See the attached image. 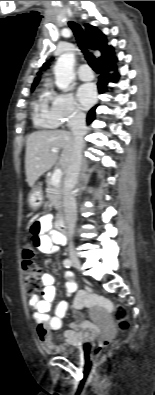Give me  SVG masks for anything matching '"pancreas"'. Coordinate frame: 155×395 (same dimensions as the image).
<instances>
[{
    "mask_svg": "<svg viewBox=\"0 0 155 395\" xmlns=\"http://www.w3.org/2000/svg\"><path fill=\"white\" fill-rule=\"evenodd\" d=\"M47 198L50 200L51 205L56 209H60L62 206V196H63V187L59 183L54 186L51 182V177H47V188H46Z\"/></svg>",
    "mask_w": 155,
    "mask_h": 395,
    "instance_id": "1",
    "label": "pancreas"
}]
</instances>
